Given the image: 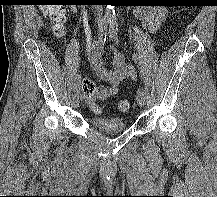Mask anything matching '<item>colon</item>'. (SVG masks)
<instances>
[{"label":"colon","instance_id":"5ec220e1","mask_svg":"<svg viewBox=\"0 0 217 197\" xmlns=\"http://www.w3.org/2000/svg\"><path fill=\"white\" fill-rule=\"evenodd\" d=\"M42 11L44 16L52 22L53 33L56 36H62L67 20L66 9L58 0H41ZM82 91L84 96L91 102L103 99L106 96V89L103 86H97L92 80L84 79L82 82ZM118 110L127 112L130 109L128 100H119L117 103ZM94 111L99 113L100 109L97 106L93 107Z\"/></svg>","mask_w":217,"mask_h":197}]
</instances>
